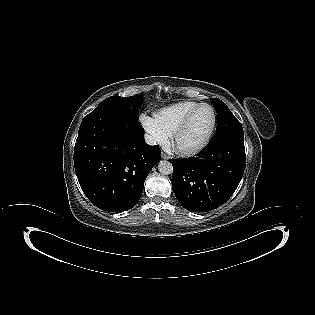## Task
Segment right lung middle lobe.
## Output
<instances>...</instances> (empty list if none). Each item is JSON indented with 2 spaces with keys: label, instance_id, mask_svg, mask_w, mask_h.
Masks as SVG:
<instances>
[{
  "label": "right lung middle lobe",
  "instance_id": "right-lung-middle-lobe-1",
  "mask_svg": "<svg viewBox=\"0 0 315 315\" xmlns=\"http://www.w3.org/2000/svg\"><path fill=\"white\" fill-rule=\"evenodd\" d=\"M143 100V97L139 95L130 97L111 96L103 100L94 111L108 110L129 119L139 120L138 114Z\"/></svg>",
  "mask_w": 315,
  "mask_h": 315
}]
</instances>
